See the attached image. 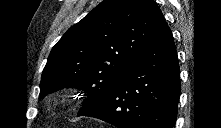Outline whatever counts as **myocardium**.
<instances>
[{
    "label": "myocardium",
    "mask_w": 221,
    "mask_h": 128,
    "mask_svg": "<svg viewBox=\"0 0 221 128\" xmlns=\"http://www.w3.org/2000/svg\"><path fill=\"white\" fill-rule=\"evenodd\" d=\"M67 100V98L65 97V96H63L61 99H60V101L63 103V102H65Z\"/></svg>",
    "instance_id": "myocardium-1"
}]
</instances>
